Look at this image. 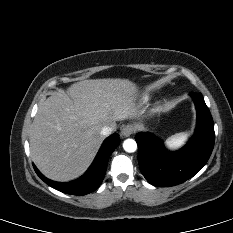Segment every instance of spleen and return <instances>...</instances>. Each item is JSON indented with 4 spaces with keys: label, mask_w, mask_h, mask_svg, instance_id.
Returning <instances> with one entry per match:
<instances>
[{
    "label": "spleen",
    "mask_w": 233,
    "mask_h": 233,
    "mask_svg": "<svg viewBox=\"0 0 233 233\" xmlns=\"http://www.w3.org/2000/svg\"><path fill=\"white\" fill-rule=\"evenodd\" d=\"M188 136V132H180L169 137L164 144L169 150H175L182 147L186 143Z\"/></svg>",
    "instance_id": "3e777b00"
}]
</instances>
